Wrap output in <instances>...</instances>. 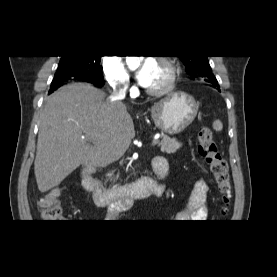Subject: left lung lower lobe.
Segmentation results:
<instances>
[{
    "mask_svg": "<svg viewBox=\"0 0 277 277\" xmlns=\"http://www.w3.org/2000/svg\"><path fill=\"white\" fill-rule=\"evenodd\" d=\"M211 83V82H210ZM213 85L214 88H217L218 91H220V87L218 83H211Z\"/></svg>",
    "mask_w": 277,
    "mask_h": 277,
    "instance_id": "1",
    "label": "left lung lower lobe"
}]
</instances>
